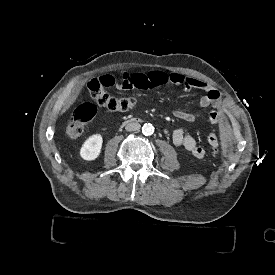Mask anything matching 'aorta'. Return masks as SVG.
<instances>
[{"label":"aorta","mask_w":275,"mask_h":275,"mask_svg":"<svg viewBox=\"0 0 275 275\" xmlns=\"http://www.w3.org/2000/svg\"><path fill=\"white\" fill-rule=\"evenodd\" d=\"M142 133L145 136H150L154 133V126L150 123L144 124L142 127Z\"/></svg>","instance_id":"aorta-1"}]
</instances>
